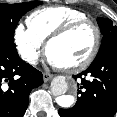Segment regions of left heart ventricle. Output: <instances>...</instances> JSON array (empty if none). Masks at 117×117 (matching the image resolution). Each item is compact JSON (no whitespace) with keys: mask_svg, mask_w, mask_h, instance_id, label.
Wrapping results in <instances>:
<instances>
[{"mask_svg":"<svg viewBox=\"0 0 117 117\" xmlns=\"http://www.w3.org/2000/svg\"><path fill=\"white\" fill-rule=\"evenodd\" d=\"M95 32L84 26L68 36L54 42L49 49V57L61 67H68L84 60L93 48Z\"/></svg>","mask_w":117,"mask_h":117,"instance_id":"left-heart-ventricle-1","label":"left heart ventricle"}]
</instances>
